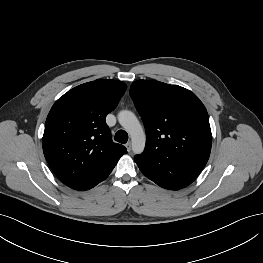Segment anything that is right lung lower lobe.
<instances>
[{
	"label": "right lung lower lobe",
	"instance_id": "98d812e1",
	"mask_svg": "<svg viewBox=\"0 0 263 263\" xmlns=\"http://www.w3.org/2000/svg\"><path fill=\"white\" fill-rule=\"evenodd\" d=\"M108 175H109V174H108ZM108 175H106V176L103 177L102 179L98 180L97 182H95V183H93V184H91V185H89V186H86V187H84V188H82V189H80V190H88V189L93 188V187L96 186L99 182H101V181H103L104 179H106V178L108 177Z\"/></svg>",
	"mask_w": 263,
	"mask_h": 263
}]
</instances>
